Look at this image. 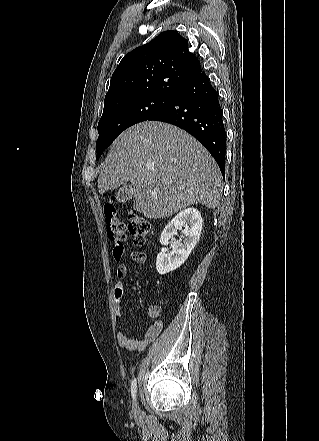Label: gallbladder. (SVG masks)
Here are the masks:
<instances>
[{"label":"gallbladder","instance_id":"1","mask_svg":"<svg viewBox=\"0 0 319 441\" xmlns=\"http://www.w3.org/2000/svg\"><path fill=\"white\" fill-rule=\"evenodd\" d=\"M133 193L130 185L122 186L117 192V200L120 203H124L132 199Z\"/></svg>","mask_w":319,"mask_h":441}]
</instances>
